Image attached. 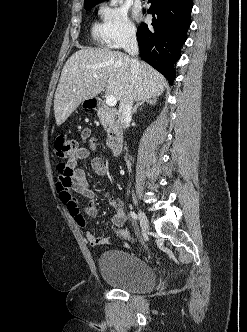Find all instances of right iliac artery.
I'll return each instance as SVG.
<instances>
[{
    "mask_svg": "<svg viewBox=\"0 0 247 332\" xmlns=\"http://www.w3.org/2000/svg\"><path fill=\"white\" fill-rule=\"evenodd\" d=\"M130 216L134 219V220H137L138 217H137V214L133 211L130 212Z\"/></svg>",
    "mask_w": 247,
    "mask_h": 332,
    "instance_id": "right-iliac-artery-1",
    "label": "right iliac artery"
}]
</instances>
